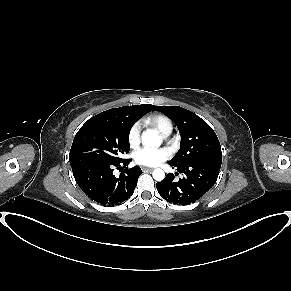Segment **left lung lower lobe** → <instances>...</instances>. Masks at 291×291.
Returning <instances> with one entry per match:
<instances>
[{
    "instance_id": "0a47b994",
    "label": "left lung lower lobe",
    "mask_w": 291,
    "mask_h": 291,
    "mask_svg": "<svg viewBox=\"0 0 291 291\" xmlns=\"http://www.w3.org/2000/svg\"><path fill=\"white\" fill-rule=\"evenodd\" d=\"M169 163V162H168ZM222 158H199L181 165H172L182 173L183 178L174 180L168 174L162 182L156 183L159 194L169 203L186 205L199 200L216 182Z\"/></svg>"
}]
</instances>
